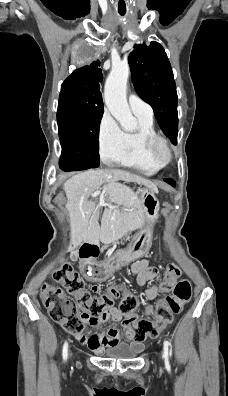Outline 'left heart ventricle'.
<instances>
[{"label": "left heart ventricle", "mask_w": 228, "mask_h": 396, "mask_svg": "<svg viewBox=\"0 0 228 396\" xmlns=\"http://www.w3.org/2000/svg\"><path fill=\"white\" fill-rule=\"evenodd\" d=\"M159 156H160L161 159H165L166 158V152H165V150L163 148H161L159 150Z\"/></svg>", "instance_id": "1"}]
</instances>
